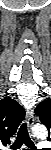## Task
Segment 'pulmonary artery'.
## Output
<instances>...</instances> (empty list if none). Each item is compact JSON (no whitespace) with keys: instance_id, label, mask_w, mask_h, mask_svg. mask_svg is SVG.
Instances as JSON below:
<instances>
[{"instance_id":"obj_1","label":"pulmonary artery","mask_w":51,"mask_h":150,"mask_svg":"<svg viewBox=\"0 0 51 150\" xmlns=\"http://www.w3.org/2000/svg\"><path fill=\"white\" fill-rule=\"evenodd\" d=\"M48 145H49V144H48L47 142H42V143L40 144L41 147L48 146Z\"/></svg>"}]
</instances>
